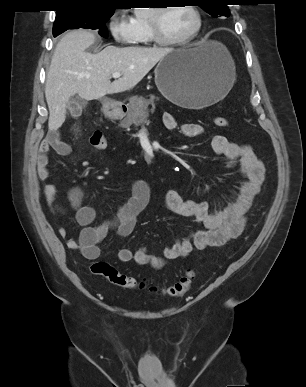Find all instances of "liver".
I'll return each mask as SVG.
<instances>
[{"instance_id": "obj_1", "label": "liver", "mask_w": 306, "mask_h": 387, "mask_svg": "<svg viewBox=\"0 0 306 387\" xmlns=\"http://www.w3.org/2000/svg\"><path fill=\"white\" fill-rule=\"evenodd\" d=\"M96 37L87 30L65 34L56 45L46 77L45 97L49 108L50 131L62 126L66 104L78 94L90 101L107 94L133 89L173 48L115 47L96 54L87 52ZM115 72L122 77L110 81Z\"/></svg>"}]
</instances>
